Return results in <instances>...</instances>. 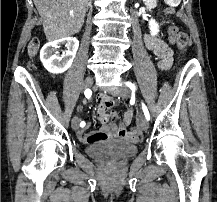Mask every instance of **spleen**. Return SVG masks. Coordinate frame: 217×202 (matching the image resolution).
<instances>
[{"label":"spleen","mask_w":217,"mask_h":202,"mask_svg":"<svg viewBox=\"0 0 217 202\" xmlns=\"http://www.w3.org/2000/svg\"><path fill=\"white\" fill-rule=\"evenodd\" d=\"M165 5H179V0H165Z\"/></svg>","instance_id":"1"}]
</instances>
